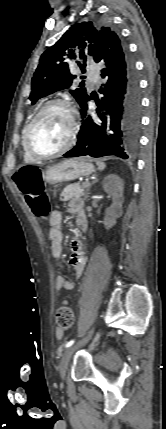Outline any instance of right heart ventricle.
<instances>
[{
	"label": "right heart ventricle",
	"mask_w": 166,
	"mask_h": 429,
	"mask_svg": "<svg viewBox=\"0 0 166 429\" xmlns=\"http://www.w3.org/2000/svg\"><path fill=\"white\" fill-rule=\"evenodd\" d=\"M29 125V124H28ZM28 125L24 128L23 131V139H22V146H23V157H24V161L28 162V163H33L36 162L37 160L33 159L26 151L25 147H24V137H25V133L27 130Z\"/></svg>",
	"instance_id": "right-heart-ventricle-1"
}]
</instances>
